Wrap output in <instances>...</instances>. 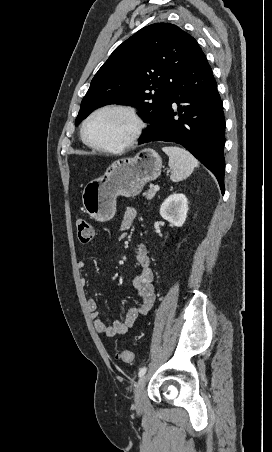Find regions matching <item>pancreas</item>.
Instances as JSON below:
<instances>
[{
	"instance_id": "1",
	"label": "pancreas",
	"mask_w": 272,
	"mask_h": 452,
	"mask_svg": "<svg viewBox=\"0 0 272 452\" xmlns=\"http://www.w3.org/2000/svg\"><path fill=\"white\" fill-rule=\"evenodd\" d=\"M156 194V191L153 188H150L147 192L143 194L147 200H151Z\"/></svg>"
}]
</instances>
